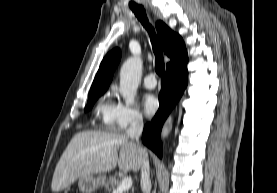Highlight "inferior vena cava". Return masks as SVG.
Returning <instances> with one entry per match:
<instances>
[{
    "label": "inferior vena cava",
    "mask_w": 277,
    "mask_h": 193,
    "mask_svg": "<svg viewBox=\"0 0 277 193\" xmlns=\"http://www.w3.org/2000/svg\"><path fill=\"white\" fill-rule=\"evenodd\" d=\"M143 130V118L139 115L132 116L130 120V127L126 131L127 137L136 140L141 152L143 153L141 164V189L143 193H150L151 181H150V168L149 161L146 152L141 148L139 144V137Z\"/></svg>",
    "instance_id": "602c4592"
}]
</instances>
